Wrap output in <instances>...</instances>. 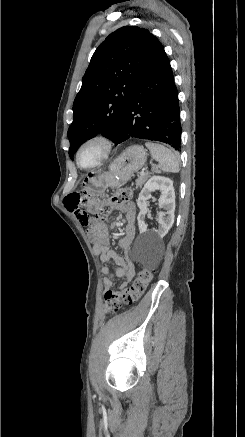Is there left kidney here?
Listing matches in <instances>:
<instances>
[{"label":"left kidney","instance_id":"1","mask_svg":"<svg viewBox=\"0 0 245 437\" xmlns=\"http://www.w3.org/2000/svg\"><path fill=\"white\" fill-rule=\"evenodd\" d=\"M155 190H160L159 208L164 209L166 212L160 211L158 213V229L149 231L145 223L146 214L148 212L147 201L151 198V192ZM137 205L140 209L137 217L140 234H145L154 240L163 238L172 227L175 218V191L173 181L163 176L151 177L140 192Z\"/></svg>","mask_w":245,"mask_h":437}]
</instances>
